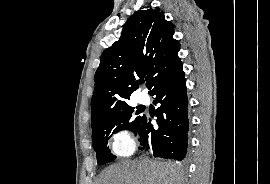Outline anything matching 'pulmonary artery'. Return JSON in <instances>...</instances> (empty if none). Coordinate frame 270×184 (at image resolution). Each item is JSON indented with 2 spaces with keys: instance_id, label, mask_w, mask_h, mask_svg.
<instances>
[{
  "instance_id": "pulmonary-artery-1",
  "label": "pulmonary artery",
  "mask_w": 270,
  "mask_h": 184,
  "mask_svg": "<svg viewBox=\"0 0 270 184\" xmlns=\"http://www.w3.org/2000/svg\"><path fill=\"white\" fill-rule=\"evenodd\" d=\"M138 100L140 103H147L148 102V96L144 93H141L138 97Z\"/></svg>"
}]
</instances>
